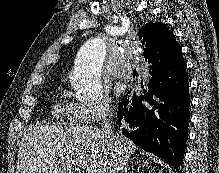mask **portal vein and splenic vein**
I'll use <instances>...</instances> for the list:
<instances>
[{"mask_svg":"<svg viewBox=\"0 0 219 173\" xmlns=\"http://www.w3.org/2000/svg\"><path fill=\"white\" fill-rule=\"evenodd\" d=\"M74 165H75L77 168H82V166H81L79 163H74Z\"/></svg>","mask_w":219,"mask_h":173,"instance_id":"obj_1","label":"portal vein and splenic vein"}]
</instances>
